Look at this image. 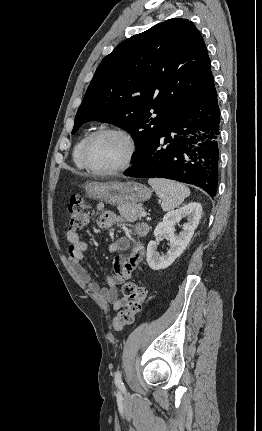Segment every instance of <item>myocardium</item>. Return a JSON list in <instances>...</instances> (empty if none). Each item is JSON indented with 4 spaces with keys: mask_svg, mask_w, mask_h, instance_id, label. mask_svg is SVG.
<instances>
[{
    "mask_svg": "<svg viewBox=\"0 0 262 431\" xmlns=\"http://www.w3.org/2000/svg\"><path fill=\"white\" fill-rule=\"evenodd\" d=\"M108 133L117 134L121 136L128 145V152L121 165L112 169H105V170L96 169L92 167L88 161V150H89L90 144L96 137H98L99 135L108 134ZM136 154H137V143L134 136L128 130L122 127L111 126V127H104V128L98 129L87 137L81 150V161L84 168L90 173H92L93 175L110 176V175L119 174L125 171L127 168H129L133 163Z\"/></svg>",
    "mask_w": 262,
    "mask_h": 431,
    "instance_id": "f54148a6",
    "label": "myocardium"
}]
</instances>
